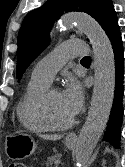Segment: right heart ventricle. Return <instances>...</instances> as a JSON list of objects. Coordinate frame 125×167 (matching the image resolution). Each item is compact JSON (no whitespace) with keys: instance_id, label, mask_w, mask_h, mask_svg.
Here are the masks:
<instances>
[{"instance_id":"e07e8e85","label":"right heart ventricle","mask_w":125,"mask_h":167,"mask_svg":"<svg viewBox=\"0 0 125 167\" xmlns=\"http://www.w3.org/2000/svg\"><path fill=\"white\" fill-rule=\"evenodd\" d=\"M49 84L31 77L26 92L17 107L19 123L29 132L42 134L49 129L42 123L38 113L40 99Z\"/></svg>"}]
</instances>
